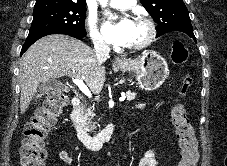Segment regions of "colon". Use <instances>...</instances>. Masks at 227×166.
<instances>
[{
    "instance_id": "obj_1",
    "label": "colon",
    "mask_w": 227,
    "mask_h": 166,
    "mask_svg": "<svg viewBox=\"0 0 227 166\" xmlns=\"http://www.w3.org/2000/svg\"><path fill=\"white\" fill-rule=\"evenodd\" d=\"M189 50L181 41L172 44V59L176 64H184L189 60ZM193 77L186 74L179 88L180 97L186 96ZM68 104L67 96L59 90L52 91L44 104L37 110L33 118L24 126V139L20 147L21 166H45L47 155L44 142L48 132L55 126ZM172 122L180 149L178 166H196L198 146L195 132L190 124L187 109L181 101L171 108Z\"/></svg>"
}]
</instances>
